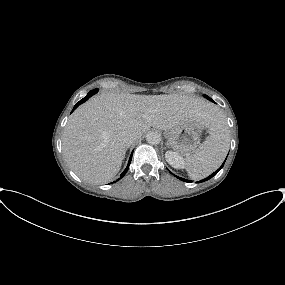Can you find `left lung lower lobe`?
I'll list each match as a JSON object with an SVG mask.
<instances>
[{"label": "left lung lower lobe", "mask_w": 285, "mask_h": 285, "mask_svg": "<svg viewBox=\"0 0 285 285\" xmlns=\"http://www.w3.org/2000/svg\"><path fill=\"white\" fill-rule=\"evenodd\" d=\"M223 164H224V163H223ZM223 164H222V166H223ZM222 166H221L217 171H215V172L212 173L210 176H208L207 178L203 179V180L200 181V182L207 181V180H209L210 178H212L213 176H215V175L219 172V170L222 168ZM177 178L180 179L181 181L191 182L190 180H186V179L181 178V177H177ZM197 183H198V182H197Z\"/></svg>", "instance_id": "0a47b994"}]
</instances>
